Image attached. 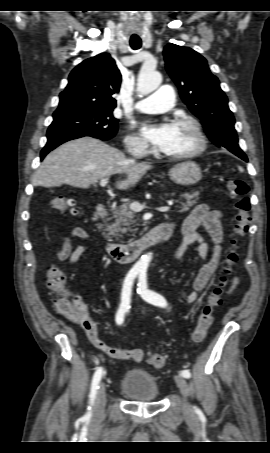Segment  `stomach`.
<instances>
[{
	"instance_id": "0dacf381",
	"label": "stomach",
	"mask_w": 270,
	"mask_h": 453,
	"mask_svg": "<svg viewBox=\"0 0 270 453\" xmlns=\"http://www.w3.org/2000/svg\"><path fill=\"white\" fill-rule=\"evenodd\" d=\"M170 179L179 185L190 186L202 178L200 166L193 161L178 163L169 170Z\"/></svg>"
}]
</instances>
